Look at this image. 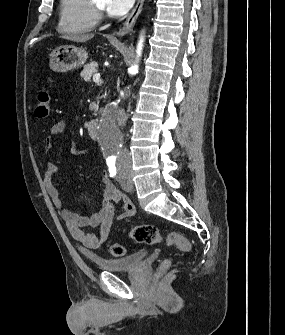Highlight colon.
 I'll return each instance as SVG.
<instances>
[{
  "mask_svg": "<svg viewBox=\"0 0 285 335\" xmlns=\"http://www.w3.org/2000/svg\"><path fill=\"white\" fill-rule=\"evenodd\" d=\"M51 110V96L47 91H41L37 97L35 115L38 118H46ZM130 237L137 243L156 244L164 243L168 246H176L184 252H189L192 248L190 241L177 232H170L166 236L160 234L159 230L150 224H142L133 227L130 231ZM109 251L116 257L124 256L126 248L121 244H113ZM170 266V260H164L161 264V270H166Z\"/></svg>",
  "mask_w": 285,
  "mask_h": 335,
  "instance_id": "colon-1",
  "label": "colon"
}]
</instances>
